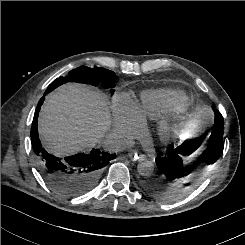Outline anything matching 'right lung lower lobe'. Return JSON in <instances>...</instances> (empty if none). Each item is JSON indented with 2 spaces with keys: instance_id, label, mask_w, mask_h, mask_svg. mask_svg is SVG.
<instances>
[{
  "instance_id": "98d812e1",
  "label": "right lung lower lobe",
  "mask_w": 245,
  "mask_h": 245,
  "mask_svg": "<svg viewBox=\"0 0 245 245\" xmlns=\"http://www.w3.org/2000/svg\"><path fill=\"white\" fill-rule=\"evenodd\" d=\"M38 102L32 127L31 143L39 172L46 183L64 197H76L89 191L98 181L104 166L116 154L93 149L90 153H79L65 158L49 154L41 145L38 136V115L45 95Z\"/></svg>"
}]
</instances>
